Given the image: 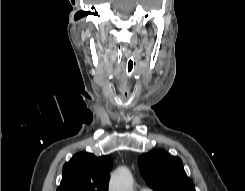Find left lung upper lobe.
<instances>
[{
	"mask_svg": "<svg viewBox=\"0 0 245 191\" xmlns=\"http://www.w3.org/2000/svg\"><path fill=\"white\" fill-rule=\"evenodd\" d=\"M139 169L148 186L157 191H195L179 157L157 150L138 158Z\"/></svg>",
	"mask_w": 245,
	"mask_h": 191,
	"instance_id": "obj_1",
	"label": "left lung upper lobe"
}]
</instances>
